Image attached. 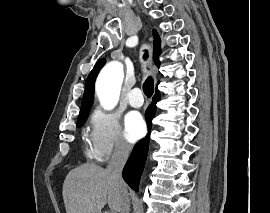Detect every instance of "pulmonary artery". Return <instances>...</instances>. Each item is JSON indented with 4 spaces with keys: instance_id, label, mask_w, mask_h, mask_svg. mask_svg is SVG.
Listing matches in <instances>:
<instances>
[{
    "instance_id": "e3ab8cb5",
    "label": "pulmonary artery",
    "mask_w": 270,
    "mask_h": 213,
    "mask_svg": "<svg viewBox=\"0 0 270 213\" xmlns=\"http://www.w3.org/2000/svg\"><path fill=\"white\" fill-rule=\"evenodd\" d=\"M128 102L132 107H141L143 105V95L139 88L132 89L128 94Z\"/></svg>"
}]
</instances>
